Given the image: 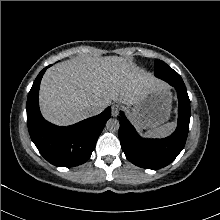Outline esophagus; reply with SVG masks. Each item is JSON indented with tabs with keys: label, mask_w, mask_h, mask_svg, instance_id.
<instances>
[{
	"label": "esophagus",
	"mask_w": 220,
	"mask_h": 220,
	"mask_svg": "<svg viewBox=\"0 0 220 220\" xmlns=\"http://www.w3.org/2000/svg\"><path fill=\"white\" fill-rule=\"evenodd\" d=\"M119 110H120V107H119V105H113L112 106V111H111V113H112V116L113 117H117L118 115H119Z\"/></svg>",
	"instance_id": "esophagus-1"
}]
</instances>
